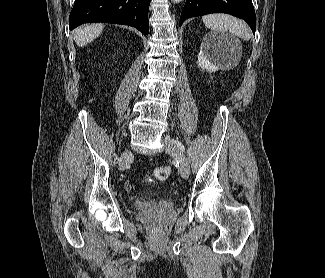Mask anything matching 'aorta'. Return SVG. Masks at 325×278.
<instances>
[{
	"label": "aorta",
	"instance_id": "obj_1",
	"mask_svg": "<svg viewBox=\"0 0 325 278\" xmlns=\"http://www.w3.org/2000/svg\"><path fill=\"white\" fill-rule=\"evenodd\" d=\"M174 3H179L181 2L182 0H172Z\"/></svg>",
	"mask_w": 325,
	"mask_h": 278
}]
</instances>
